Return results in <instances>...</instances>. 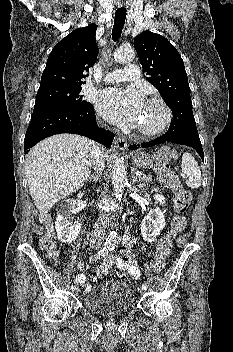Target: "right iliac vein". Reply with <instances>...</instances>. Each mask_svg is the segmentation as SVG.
I'll return each mask as SVG.
<instances>
[{"mask_svg":"<svg viewBox=\"0 0 233 352\" xmlns=\"http://www.w3.org/2000/svg\"><path fill=\"white\" fill-rule=\"evenodd\" d=\"M74 291H75V293H76V294H78L79 289H78V288H76Z\"/></svg>","mask_w":233,"mask_h":352,"instance_id":"obj_1","label":"right iliac vein"}]
</instances>
